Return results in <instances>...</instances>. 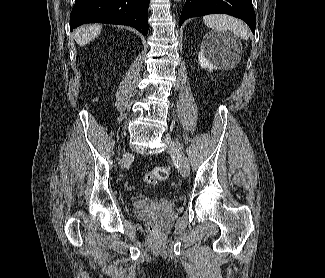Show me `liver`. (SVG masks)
<instances>
[{"instance_id":"liver-1","label":"liver","mask_w":325,"mask_h":278,"mask_svg":"<svg viewBox=\"0 0 325 278\" xmlns=\"http://www.w3.org/2000/svg\"><path fill=\"white\" fill-rule=\"evenodd\" d=\"M101 30L102 26L100 24L82 26L75 30L74 39L78 45L84 46L95 39Z\"/></svg>"}]
</instances>
